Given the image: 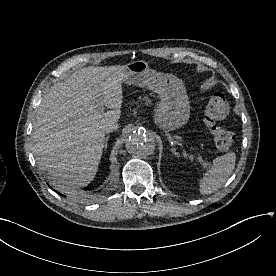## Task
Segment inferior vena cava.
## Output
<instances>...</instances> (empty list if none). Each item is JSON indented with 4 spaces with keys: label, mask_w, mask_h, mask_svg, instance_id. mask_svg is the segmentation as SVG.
<instances>
[{
    "label": "inferior vena cava",
    "mask_w": 276,
    "mask_h": 276,
    "mask_svg": "<svg viewBox=\"0 0 276 276\" xmlns=\"http://www.w3.org/2000/svg\"><path fill=\"white\" fill-rule=\"evenodd\" d=\"M118 127H119V125L116 121H111V122L106 123L103 126V131L105 133H110V132L116 131L118 129Z\"/></svg>",
    "instance_id": "inferior-vena-cava-1"
}]
</instances>
